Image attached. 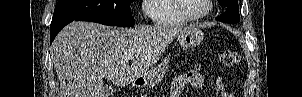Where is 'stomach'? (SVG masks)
<instances>
[{"label":"stomach","instance_id":"obj_1","mask_svg":"<svg viewBox=\"0 0 302 97\" xmlns=\"http://www.w3.org/2000/svg\"><path fill=\"white\" fill-rule=\"evenodd\" d=\"M203 37V33L199 28L189 27L179 33L178 41L182 47L191 48L199 45ZM168 65V61H164L160 65L150 69L148 73L137 78V85L147 88L158 85L165 76Z\"/></svg>","mask_w":302,"mask_h":97}]
</instances>
